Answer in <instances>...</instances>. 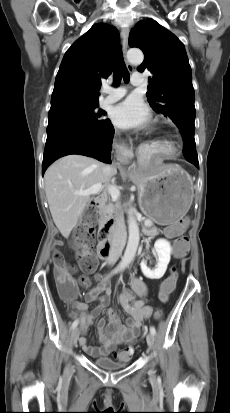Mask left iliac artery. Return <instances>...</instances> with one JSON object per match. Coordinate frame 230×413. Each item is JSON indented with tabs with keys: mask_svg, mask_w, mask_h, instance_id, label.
Returning a JSON list of instances; mask_svg holds the SVG:
<instances>
[{
	"mask_svg": "<svg viewBox=\"0 0 230 413\" xmlns=\"http://www.w3.org/2000/svg\"><path fill=\"white\" fill-rule=\"evenodd\" d=\"M150 332H151L153 335L156 334V329H155L154 326H151V327H150Z\"/></svg>",
	"mask_w": 230,
	"mask_h": 413,
	"instance_id": "left-iliac-artery-1",
	"label": "left iliac artery"
}]
</instances>
